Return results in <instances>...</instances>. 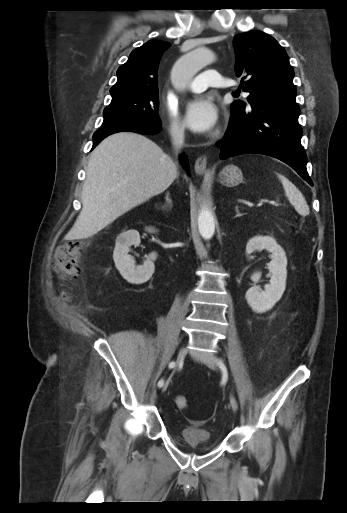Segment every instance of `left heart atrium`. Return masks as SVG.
Returning <instances> with one entry per match:
<instances>
[{
    "instance_id": "1",
    "label": "left heart atrium",
    "mask_w": 347,
    "mask_h": 513,
    "mask_svg": "<svg viewBox=\"0 0 347 513\" xmlns=\"http://www.w3.org/2000/svg\"><path fill=\"white\" fill-rule=\"evenodd\" d=\"M185 122L196 133L210 132L218 122V109L209 96L191 100L185 110Z\"/></svg>"
}]
</instances>
